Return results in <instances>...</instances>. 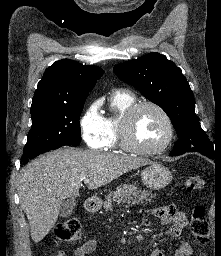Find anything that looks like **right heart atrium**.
Masks as SVG:
<instances>
[{
  "mask_svg": "<svg viewBox=\"0 0 221 256\" xmlns=\"http://www.w3.org/2000/svg\"><path fill=\"white\" fill-rule=\"evenodd\" d=\"M79 127L86 145L93 149H103L107 145V127L105 117L97 102H92L83 111Z\"/></svg>",
  "mask_w": 221,
  "mask_h": 256,
  "instance_id": "obj_1",
  "label": "right heart atrium"
}]
</instances>
